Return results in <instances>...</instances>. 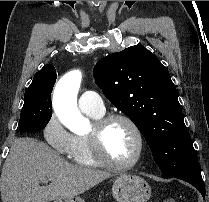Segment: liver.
Listing matches in <instances>:
<instances>
[{
    "mask_svg": "<svg viewBox=\"0 0 209 202\" xmlns=\"http://www.w3.org/2000/svg\"><path fill=\"white\" fill-rule=\"evenodd\" d=\"M108 172L72 165L47 144L25 137L16 139L1 173L3 202H48L71 198L110 178ZM42 178L51 182L40 186Z\"/></svg>",
    "mask_w": 209,
    "mask_h": 202,
    "instance_id": "liver-1",
    "label": "liver"
}]
</instances>
